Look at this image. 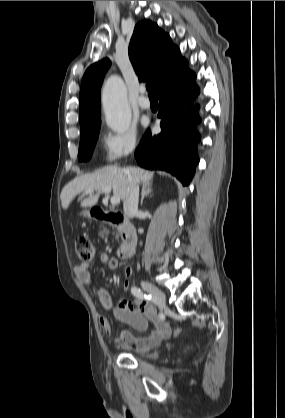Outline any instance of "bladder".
<instances>
[{
	"label": "bladder",
	"mask_w": 285,
	"mask_h": 418,
	"mask_svg": "<svg viewBox=\"0 0 285 418\" xmlns=\"http://www.w3.org/2000/svg\"><path fill=\"white\" fill-rule=\"evenodd\" d=\"M130 355L135 358L150 359L151 352L149 350H133Z\"/></svg>",
	"instance_id": "31cf9c89"
}]
</instances>
